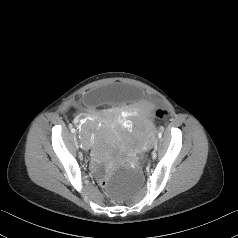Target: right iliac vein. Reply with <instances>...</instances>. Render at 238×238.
Masks as SVG:
<instances>
[{"label":"right iliac vein","instance_id":"1","mask_svg":"<svg viewBox=\"0 0 238 238\" xmlns=\"http://www.w3.org/2000/svg\"><path fill=\"white\" fill-rule=\"evenodd\" d=\"M73 139H74V145L76 146V149H79L78 143H77V136L73 135Z\"/></svg>","mask_w":238,"mask_h":238}]
</instances>
